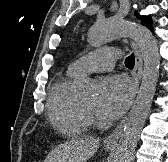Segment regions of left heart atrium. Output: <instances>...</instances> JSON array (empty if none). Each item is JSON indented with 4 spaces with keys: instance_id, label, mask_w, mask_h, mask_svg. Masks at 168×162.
<instances>
[{
    "instance_id": "39dd6f15",
    "label": "left heart atrium",
    "mask_w": 168,
    "mask_h": 162,
    "mask_svg": "<svg viewBox=\"0 0 168 162\" xmlns=\"http://www.w3.org/2000/svg\"><path fill=\"white\" fill-rule=\"evenodd\" d=\"M132 96V84L125 76L104 78L96 107L97 114L107 120L118 118L128 107Z\"/></svg>"
}]
</instances>
